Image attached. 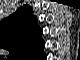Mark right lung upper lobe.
I'll list each match as a JSON object with an SVG mask.
<instances>
[{"mask_svg":"<svg viewBox=\"0 0 80 60\" xmlns=\"http://www.w3.org/2000/svg\"><path fill=\"white\" fill-rule=\"evenodd\" d=\"M1 27L0 40L11 55L26 59L29 54L35 52L39 44H44L41 39L42 30L28 5L22 6L13 15L2 20Z\"/></svg>","mask_w":80,"mask_h":60,"instance_id":"right-lung-upper-lobe-1","label":"right lung upper lobe"}]
</instances>
